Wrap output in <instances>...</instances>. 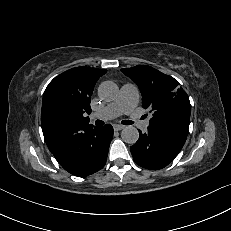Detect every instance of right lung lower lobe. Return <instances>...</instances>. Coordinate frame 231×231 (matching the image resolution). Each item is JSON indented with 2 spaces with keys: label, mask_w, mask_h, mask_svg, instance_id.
Here are the masks:
<instances>
[{
  "label": "right lung lower lobe",
  "mask_w": 231,
  "mask_h": 231,
  "mask_svg": "<svg viewBox=\"0 0 231 231\" xmlns=\"http://www.w3.org/2000/svg\"><path fill=\"white\" fill-rule=\"evenodd\" d=\"M113 127L88 125L76 130L65 147L53 152L69 173L85 177L102 169L106 163Z\"/></svg>",
  "instance_id": "1"
}]
</instances>
